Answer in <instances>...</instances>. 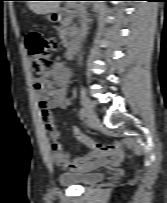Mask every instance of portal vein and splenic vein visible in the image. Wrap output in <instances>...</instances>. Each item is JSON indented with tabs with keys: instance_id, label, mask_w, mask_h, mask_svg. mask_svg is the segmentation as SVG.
Listing matches in <instances>:
<instances>
[{
	"instance_id": "portal-vein-and-splenic-vein-1",
	"label": "portal vein and splenic vein",
	"mask_w": 167,
	"mask_h": 203,
	"mask_svg": "<svg viewBox=\"0 0 167 203\" xmlns=\"http://www.w3.org/2000/svg\"><path fill=\"white\" fill-rule=\"evenodd\" d=\"M68 7L71 8V7H72V4H68Z\"/></svg>"
}]
</instances>
